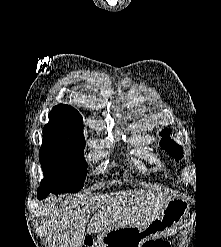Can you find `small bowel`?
I'll list each match as a JSON object with an SVG mask.
<instances>
[{
  "label": "small bowel",
  "instance_id": "c3829d8e",
  "mask_svg": "<svg viewBox=\"0 0 221 247\" xmlns=\"http://www.w3.org/2000/svg\"><path fill=\"white\" fill-rule=\"evenodd\" d=\"M150 242H153V243H163L165 241H163V240H153V241H150Z\"/></svg>",
  "mask_w": 221,
  "mask_h": 247
}]
</instances>
